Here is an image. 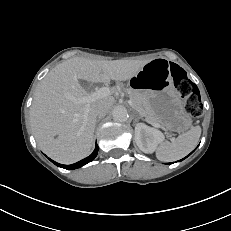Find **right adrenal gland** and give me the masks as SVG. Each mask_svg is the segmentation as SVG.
<instances>
[{
	"label": "right adrenal gland",
	"instance_id": "2a0ac1e0",
	"mask_svg": "<svg viewBox=\"0 0 231 231\" xmlns=\"http://www.w3.org/2000/svg\"><path fill=\"white\" fill-rule=\"evenodd\" d=\"M99 121H100V118H98L96 122L98 123Z\"/></svg>",
	"mask_w": 231,
	"mask_h": 231
}]
</instances>
